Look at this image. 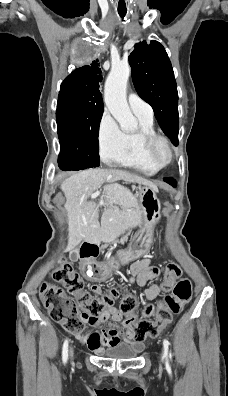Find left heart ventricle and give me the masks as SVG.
I'll return each mask as SVG.
<instances>
[{
	"mask_svg": "<svg viewBox=\"0 0 228 396\" xmlns=\"http://www.w3.org/2000/svg\"><path fill=\"white\" fill-rule=\"evenodd\" d=\"M156 154H157L159 160L162 161V162L166 161L167 158H168L167 149H166L165 146H163V145H160V146L157 148Z\"/></svg>",
	"mask_w": 228,
	"mask_h": 396,
	"instance_id": "obj_1",
	"label": "left heart ventricle"
}]
</instances>
